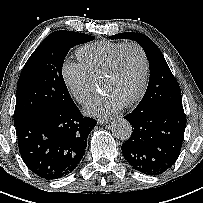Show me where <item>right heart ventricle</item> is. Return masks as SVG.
I'll return each mask as SVG.
<instances>
[{
	"instance_id": "right-heart-ventricle-1",
	"label": "right heart ventricle",
	"mask_w": 203,
	"mask_h": 203,
	"mask_svg": "<svg viewBox=\"0 0 203 203\" xmlns=\"http://www.w3.org/2000/svg\"><path fill=\"white\" fill-rule=\"evenodd\" d=\"M124 42L99 41L86 44L77 50V57L84 68L95 79H99L102 71Z\"/></svg>"
}]
</instances>
